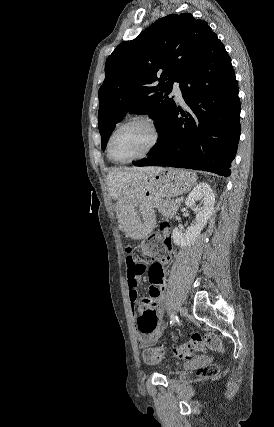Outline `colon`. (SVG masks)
Here are the masks:
<instances>
[{"label": "colon", "mask_w": 274, "mask_h": 427, "mask_svg": "<svg viewBox=\"0 0 274 427\" xmlns=\"http://www.w3.org/2000/svg\"><path fill=\"white\" fill-rule=\"evenodd\" d=\"M135 257V267H140V263L156 258L157 253H165L162 250L161 239L158 234L153 233L142 240L137 246L130 250ZM204 348L222 351L219 338L214 333H207L202 336L200 333H193L190 340L179 345H174L171 350L173 357L178 359H188L195 352ZM166 351L161 347H145L141 351V361L143 364H157L158 359H165ZM205 378H218L221 368L217 364H211L202 369Z\"/></svg>", "instance_id": "obj_1"}]
</instances>
